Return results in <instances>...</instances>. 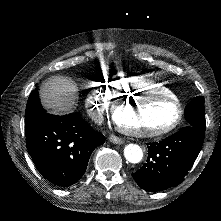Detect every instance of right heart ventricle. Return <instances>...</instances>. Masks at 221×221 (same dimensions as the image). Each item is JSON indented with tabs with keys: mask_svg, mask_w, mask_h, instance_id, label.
I'll list each match as a JSON object with an SVG mask.
<instances>
[{
	"mask_svg": "<svg viewBox=\"0 0 221 221\" xmlns=\"http://www.w3.org/2000/svg\"><path fill=\"white\" fill-rule=\"evenodd\" d=\"M152 80H126L123 82L111 81L108 90L113 98H132L136 96L143 97L145 95L153 94L157 99L172 100L175 98L176 93L172 89H165L161 83H149ZM182 99V98H181Z\"/></svg>",
	"mask_w": 221,
	"mask_h": 221,
	"instance_id": "e07e8e85",
	"label": "right heart ventricle"
}]
</instances>
